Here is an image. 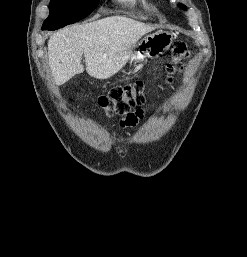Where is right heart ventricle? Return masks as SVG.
<instances>
[{"instance_id":"1","label":"right heart ventricle","mask_w":247,"mask_h":257,"mask_svg":"<svg viewBox=\"0 0 247 257\" xmlns=\"http://www.w3.org/2000/svg\"><path fill=\"white\" fill-rule=\"evenodd\" d=\"M121 4H124V5H127V6H130V7H133L135 6L137 3L139 2H144L145 0H115Z\"/></svg>"}]
</instances>
